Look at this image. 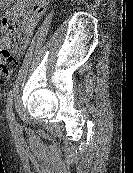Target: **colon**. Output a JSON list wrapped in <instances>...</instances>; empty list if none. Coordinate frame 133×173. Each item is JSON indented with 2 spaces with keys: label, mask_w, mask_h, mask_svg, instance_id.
I'll use <instances>...</instances> for the list:
<instances>
[{
  "label": "colon",
  "mask_w": 133,
  "mask_h": 173,
  "mask_svg": "<svg viewBox=\"0 0 133 173\" xmlns=\"http://www.w3.org/2000/svg\"><path fill=\"white\" fill-rule=\"evenodd\" d=\"M17 44L18 42L15 41V45ZM14 52V47L13 50L6 47L0 48V84L5 83L17 67V59Z\"/></svg>",
  "instance_id": "obj_1"
}]
</instances>
